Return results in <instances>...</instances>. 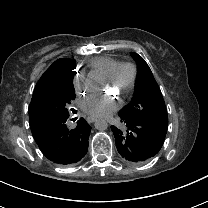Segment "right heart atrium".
I'll use <instances>...</instances> for the list:
<instances>
[{
	"mask_svg": "<svg viewBox=\"0 0 208 208\" xmlns=\"http://www.w3.org/2000/svg\"><path fill=\"white\" fill-rule=\"evenodd\" d=\"M72 89L77 96H86L90 89L88 87V79L80 72L76 71L72 77Z\"/></svg>",
	"mask_w": 208,
	"mask_h": 208,
	"instance_id": "right-heart-atrium-1",
	"label": "right heart atrium"
}]
</instances>
